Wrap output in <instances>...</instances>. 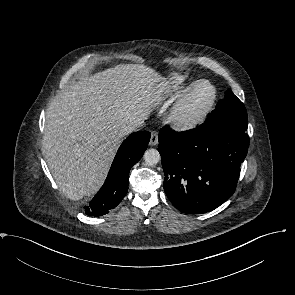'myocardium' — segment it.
Instances as JSON below:
<instances>
[{
	"instance_id": "1",
	"label": "myocardium",
	"mask_w": 295,
	"mask_h": 295,
	"mask_svg": "<svg viewBox=\"0 0 295 295\" xmlns=\"http://www.w3.org/2000/svg\"><path fill=\"white\" fill-rule=\"evenodd\" d=\"M203 85L210 87L211 93L205 105L196 112L190 111L191 102ZM217 100V89L206 79L198 80L188 87L179 97L169 113V121L174 129L180 132L192 131L201 126L210 116Z\"/></svg>"
}]
</instances>
